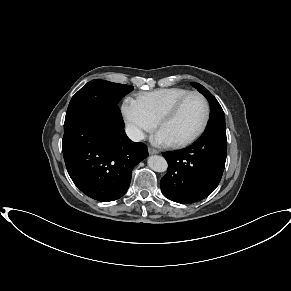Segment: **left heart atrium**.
<instances>
[{
    "mask_svg": "<svg viewBox=\"0 0 291 291\" xmlns=\"http://www.w3.org/2000/svg\"><path fill=\"white\" fill-rule=\"evenodd\" d=\"M152 142L157 145H169L170 140L165 136V134L159 130L152 138Z\"/></svg>",
    "mask_w": 291,
    "mask_h": 291,
    "instance_id": "obj_1",
    "label": "left heart atrium"
}]
</instances>
